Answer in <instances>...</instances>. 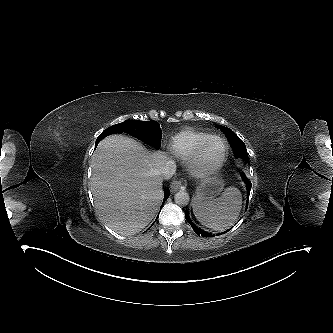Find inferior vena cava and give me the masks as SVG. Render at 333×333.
Returning a JSON list of instances; mask_svg holds the SVG:
<instances>
[{"instance_id": "obj_1", "label": "inferior vena cava", "mask_w": 333, "mask_h": 333, "mask_svg": "<svg viewBox=\"0 0 333 333\" xmlns=\"http://www.w3.org/2000/svg\"><path fill=\"white\" fill-rule=\"evenodd\" d=\"M176 171V163L172 160H167L159 167V174L163 179H170Z\"/></svg>"}]
</instances>
